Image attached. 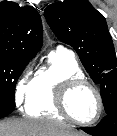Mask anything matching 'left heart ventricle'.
<instances>
[{
    "mask_svg": "<svg viewBox=\"0 0 117 136\" xmlns=\"http://www.w3.org/2000/svg\"><path fill=\"white\" fill-rule=\"evenodd\" d=\"M70 109L72 114L80 120L93 119L98 110L97 99L93 91L89 88H80L70 99Z\"/></svg>",
    "mask_w": 117,
    "mask_h": 136,
    "instance_id": "left-heart-ventricle-1",
    "label": "left heart ventricle"
}]
</instances>
